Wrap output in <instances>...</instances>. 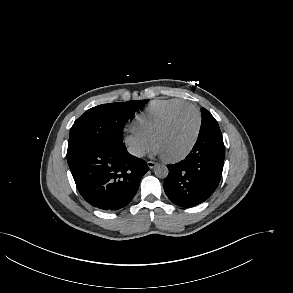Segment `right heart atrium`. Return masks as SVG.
Masks as SVG:
<instances>
[{
	"instance_id": "1",
	"label": "right heart atrium",
	"mask_w": 293,
	"mask_h": 293,
	"mask_svg": "<svg viewBox=\"0 0 293 293\" xmlns=\"http://www.w3.org/2000/svg\"><path fill=\"white\" fill-rule=\"evenodd\" d=\"M124 143L128 151L135 157H142L151 146L150 138L135 131L133 128L127 130L124 136Z\"/></svg>"
}]
</instances>
